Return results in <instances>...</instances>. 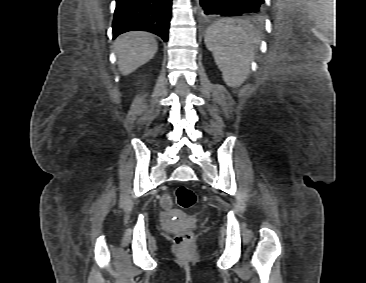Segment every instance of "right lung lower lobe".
<instances>
[{
  "label": "right lung lower lobe",
  "mask_w": 366,
  "mask_h": 283,
  "mask_svg": "<svg viewBox=\"0 0 366 283\" xmlns=\"http://www.w3.org/2000/svg\"><path fill=\"white\" fill-rule=\"evenodd\" d=\"M172 0H116L113 39L134 30L149 31L165 42L171 18Z\"/></svg>",
  "instance_id": "1"
}]
</instances>
